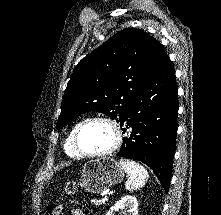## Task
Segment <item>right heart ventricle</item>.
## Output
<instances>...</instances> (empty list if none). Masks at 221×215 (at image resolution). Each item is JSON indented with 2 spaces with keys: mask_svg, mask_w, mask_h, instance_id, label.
Wrapping results in <instances>:
<instances>
[{
  "mask_svg": "<svg viewBox=\"0 0 221 215\" xmlns=\"http://www.w3.org/2000/svg\"><path fill=\"white\" fill-rule=\"evenodd\" d=\"M81 122L82 121H77L76 123H74L72 125V127L69 130V132L67 133V136H66V139H65V142H64L65 152L70 157H79V154L77 153V151L74 148L73 135H74V132H75L76 128L78 127V125Z\"/></svg>",
  "mask_w": 221,
  "mask_h": 215,
  "instance_id": "obj_1",
  "label": "right heart ventricle"
}]
</instances>
